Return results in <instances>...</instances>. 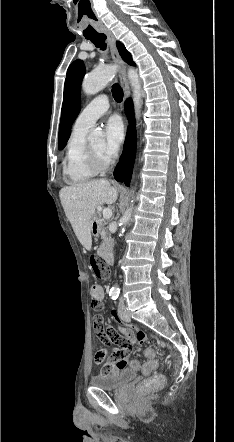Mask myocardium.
<instances>
[{
  "label": "myocardium",
  "instance_id": "myocardium-1",
  "mask_svg": "<svg viewBox=\"0 0 234 442\" xmlns=\"http://www.w3.org/2000/svg\"><path fill=\"white\" fill-rule=\"evenodd\" d=\"M87 155L90 167L97 173L107 170L112 164L110 158L103 159L100 157L91 145H87Z\"/></svg>",
  "mask_w": 234,
  "mask_h": 442
}]
</instances>
